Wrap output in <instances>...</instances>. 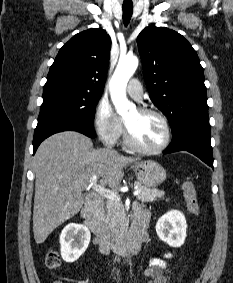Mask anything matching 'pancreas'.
<instances>
[{
    "instance_id": "obj_1",
    "label": "pancreas",
    "mask_w": 233,
    "mask_h": 283,
    "mask_svg": "<svg viewBox=\"0 0 233 283\" xmlns=\"http://www.w3.org/2000/svg\"><path fill=\"white\" fill-rule=\"evenodd\" d=\"M134 186L140 191V193L137 195V198L142 202H153L158 198H164V191H160L156 188L146 187L137 181L134 182ZM99 216L109 226L112 232L116 234L122 233L125 227V214L120 200L115 201L108 199L105 205L102 206Z\"/></svg>"
}]
</instances>
